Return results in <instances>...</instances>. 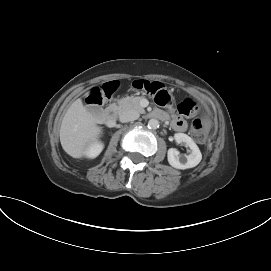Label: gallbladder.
<instances>
[{"label": "gallbladder", "instance_id": "obj_1", "mask_svg": "<svg viewBox=\"0 0 271 271\" xmlns=\"http://www.w3.org/2000/svg\"><path fill=\"white\" fill-rule=\"evenodd\" d=\"M88 111L97 121L103 120V111L99 106H90Z\"/></svg>", "mask_w": 271, "mask_h": 271}]
</instances>
